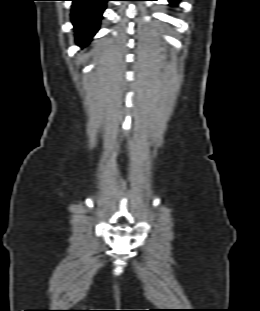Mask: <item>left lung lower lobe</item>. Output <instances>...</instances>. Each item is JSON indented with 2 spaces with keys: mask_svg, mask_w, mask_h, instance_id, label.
Masks as SVG:
<instances>
[{
  "mask_svg": "<svg viewBox=\"0 0 260 311\" xmlns=\"http://www.w3.org/2000/svg\"><path fill=\"white\" fill-rule=\"evenodd\" d=\"M179 0H169V2L171 3V5H173L174 3H177Z\"/></svg>",
  "mask_w": 260,
  "mask_h": 311,
  "instance_id": "1",
  "label": "left lung lower lobe"
}]
</instances>
